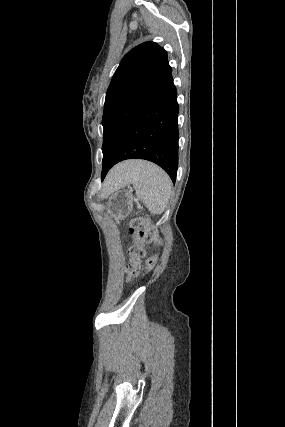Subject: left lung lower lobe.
<instances>
[{"mask_svg":"<svg viewBox=\"0 0 285 427\" xmlns=\"http://www.w3.org/2000/svg\"><path fill=\"white\" fill-rule=\"evenodd\" d=\"M178 112L177 90L170 75L125 129L111 167L126 159H145L162 167L175 182L178 168Z\"/></svg>","mask_w":285,"mask_h":427,"instance_id":"0a47b994","label":"left lung lower lobe"}]
</instances>
